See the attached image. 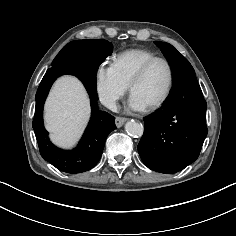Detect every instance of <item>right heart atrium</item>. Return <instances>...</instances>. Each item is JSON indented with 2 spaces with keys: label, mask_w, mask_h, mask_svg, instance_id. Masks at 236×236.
Wrapping results in <instances>:
<instances>
[{
  "label": "right heart atrium",
  "mask_w": 236,
  "mask_h": 236,
  "mask_svg": "<svg viewBox=\"0 0 236 236\" xmlns=\"http://www.w3.org/2000/svg\"><path fill=\"white\" fill-rule=\"evenodd\" d=\"M94 86L99 99L111 109L128 91V86L119 78L112 65L100 64L96 68Z\"/></svg>",
  "instance_id": "d8ad5b80"
}]
</instances>
